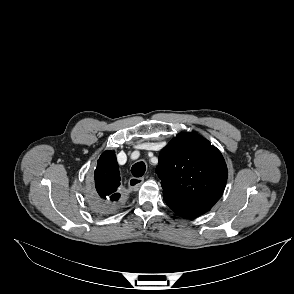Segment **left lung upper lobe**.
<instances>
[{"label": "left lung upper lobe", "instance_id": "1", "mask_svg": "<svg viewBox=\"0 0 294 294\" xmlns=\"http://www.w3.org/2000/svg\"><path fill=\"white\" fill-rule=\"evenodd\" d=\"M156 172L166 204L178 215L197 217L223 194L228 172L220 151L196 133H180L159 155Z\"/></svg>", "mask_w": 294, "mask_h": 294}]
</instances>
